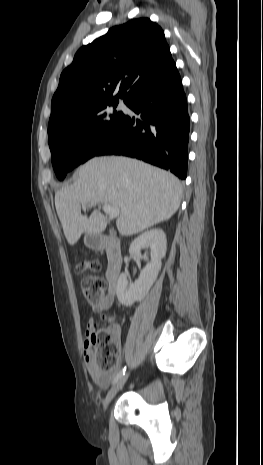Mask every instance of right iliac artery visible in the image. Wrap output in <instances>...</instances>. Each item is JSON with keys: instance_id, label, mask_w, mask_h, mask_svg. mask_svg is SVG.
Returning a JSON list of instances; mask_svg holds the SVG:
<instances>
[{"instance_id": "82829eb1", "label": "right iliac artery", "mask_w": 263, "mask_h": 465, "mask_svg": "<svg viewBox=\"0 0 263 465\" xmlns=\"http://www.w3.org/2000/svg\"><path fill=\"white\" fill-rule=\"evenodd\" d=\"M125 372H126V366L123 367L118 373L117 375L115 376L114 380H113V384L117 383L119 381V379L125 375Z\"/></svg>"}]
</instances>
